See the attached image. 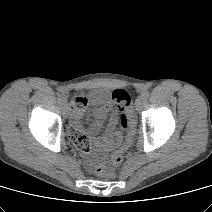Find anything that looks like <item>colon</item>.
<instances>
[{"label": "colon", "instance_id": "obj_1", "mask_svg": "<svg viewBox=\"0 0 212 212\" xmlns=\"http://www.w3.org/2000/svg\"><path fill=\"white\" fill-rule=\"evenodd\" d=\"M111 98L116 102L121 110L120 114V126L124 131L128 132V136L124 145L114 152L111 158L112 166H119L123 161V152L128 147L131 140V133L134 127V119L127 113L128 108L131 105V97L129 93L123 89H116L112 91ZM72 108L74 111H80L84 108V102L80 98H76L72 102ZM72 141L81 150L86 151L87 147L79 140L72 138ZM97 174L102 177H111L114 175L113 170L105 165H101L96 170Z\"/></svg>", "mask_w": 212, "mask_h": 212}]
</instances>
